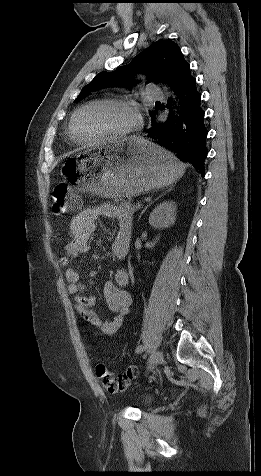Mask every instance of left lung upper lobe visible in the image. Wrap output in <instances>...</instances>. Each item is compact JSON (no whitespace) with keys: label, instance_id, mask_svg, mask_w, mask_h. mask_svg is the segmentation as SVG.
Segmentation results:
<instances>
[{"label":"left lung upper lobe","instance_id":"5c2ea615","mask_svg":"<svg viewBox=\"0 0 261 476\" xmlns=\"http://www.w3.org/2000/svg\"><path fill=\"white\" fill-rule=\"evenodd\" d=\"M189 66L178 45L171 40H159L137 55L130 64L112 72H100L84 86L76 100L83 99L89 92L111 86L130 85L133 76L143 72L147 81H166L174 87L183 71ZM155 113L151 112L153 116Z\"/></svg>","mask_w":261,"mask_h":476}]
</instances>
